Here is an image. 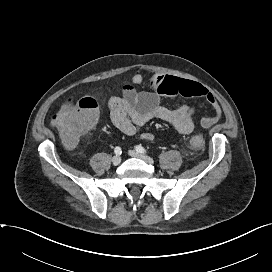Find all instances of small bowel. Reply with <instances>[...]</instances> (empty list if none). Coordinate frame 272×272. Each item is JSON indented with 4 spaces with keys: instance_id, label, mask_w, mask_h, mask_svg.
<instances>
[{
    "instance_id": "1",
    "label": "small bowel",
    "mask_w": 272,
    "mask_h": 272,
    "mask_svg": "<svg viewBox=\"0 0 272 272\" xmlns=\"http://www.w3.org/2000/svg\"><path fill=\"white\" fill-rule=\"evenodd\" d=\"M147 81L150 91L138 92L136 86ZM199 97L204 99L213 109V116L203 117L201 125L209 127L221 115V108L213 96L203 85L186 79L163 74L146 76L142 73L134 74L123 85L122 96L110 98L108 106L112 123L126 135H134L137 128L153 119H159L170 124L180 134L193 132L195 124V109L182 105L172 109L161 103V97ZM97 118V115H96ZM149 133L142 135V139L151 140Z\"/></svg>"
}]
</instances>
